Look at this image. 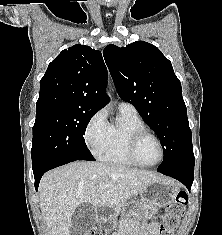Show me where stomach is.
<instances>
[{
	"label": "stomach",
	"instance_id": "0dacf381",
	"mask_svg": "<svg viewBox=\"0 0 222 235\" xmlns=\"http://www.w3.org/2000/svg\"><path fill=\"white\" fill-rule=\"evenodd\" d=\"M179 184L173 180L160 179L150 183L140 192V200H132L118 206L113 213L102 215L98 219L99 227L105 231H114L119 227L117 214L122 212V221H128L132 228L128 235H148L143 225L154 217L160 208L176 199Z\"/></svg>",
	"mask_w": 222,
	"mask_h": 235
}]
</instances>
